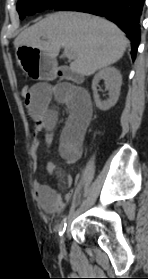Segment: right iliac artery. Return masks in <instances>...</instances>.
<instances>
[{"label": "right iliac artery", "instance_id": "right-iliac-artery-1", "mask_svg": "<svg viewBox=\"0 0 148 279\" xmlns=\"http://www.w3.org/2000/svg\"><path fill=\"white\" fill-rule=\"evenodd\" d=\"M66 226H67V224H66V219H63L62 222H61V224H60V226H59V235H60V236H62L63 233L65 232Z\"/></svg>", "mask_w": 148, "mask_h": 279}]
</instances>
